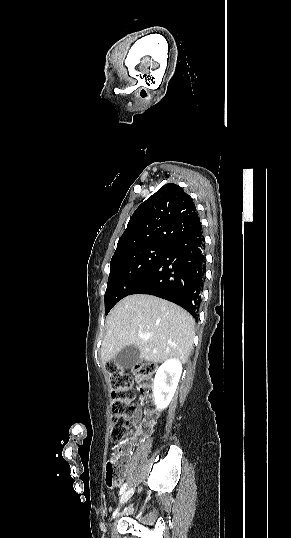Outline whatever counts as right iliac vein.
I'll use <instances>...</instances> for the list:
<instances>
[{
	"mask_svg": "<svg viewBox=\"0 0 291 538\" xmlns=\"http://www.w3.org/2000/svg\"><path fill=\"white\" fill-rule=\"evenodd\" d=\"M134 489H135L134 487H130L126 492H124V494L122 495V497L120 498V500L123 501V500L129 498V497L133 494ZM116 513H117V510H115V511L113 512V514H112V519L115 518Z\"/></svg>",
	"mask_w": 291,
	"mask_h": 538,
	"instance_id": "1",
	"label": "right iliac vein"
}]
</instances>
